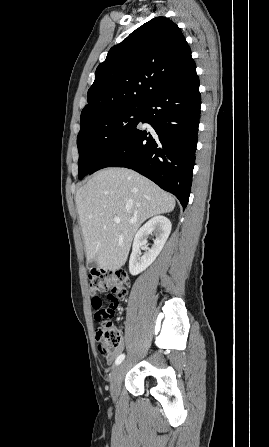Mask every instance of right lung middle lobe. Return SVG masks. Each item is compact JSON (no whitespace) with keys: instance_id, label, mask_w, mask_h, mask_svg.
Masks as SVG:
<instances>
[{"instance_id":"1","label":"right lung middle lobe","mask_w":269,"mask_h":447,"mask_svg":"<svg viewBox=\"0 0 269 447\" xmlns=\"http://www.w3.org/2000/svg\"><path fill=\"white\" fill-rule=\"evenodd\" d=\"M144 108V104L117 108L81 124L77 136L79 179L89 174L109 150L137 127Z\"/></svg>"}]
</instances>
